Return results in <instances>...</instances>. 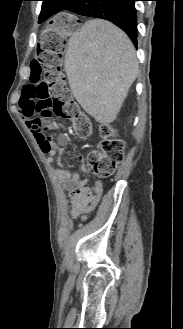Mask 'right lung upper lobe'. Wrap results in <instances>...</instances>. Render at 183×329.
Listing matches in <instances>:
<instances>
[{
  "mask_svg": "<svg viewBox=\"0 0 183 329\" xmlns=\"http://www.w3.org/2000/svg\"><path fill=\"white\" fill-rule=\"evenodd\" d=\"M42 1H43L42 10L39 17L40 22L43 20L45 21L50 16L57 13L56 11L57 7L62 3V1H66V0H42Z\"/></svg>",
  "mask_w": 183,
  "mask_h": 329,
  "instance_id": "cb5924a9",
  "label": "right lung upper lobe"
}]
</instances>
